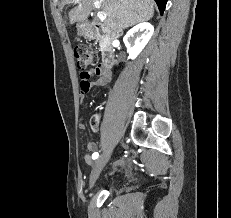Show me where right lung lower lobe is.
<instances>
[{"mask_svg": "<svg viewBox=\"0 0 231 218\" xmlns=\"http://www.w3.org/2000/svg\"><path fill=\"white\" fill-rule=\"evenodd\" d=\"M162 15L168 0H155Z\"/></svg>", "mask_w": 231, "mask_h": 218, "instance_id": "1", "label": "right lung lower lobe"}]
</instances>
